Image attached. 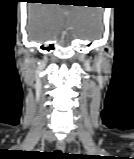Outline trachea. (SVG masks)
I'll list each match as a JSON object with an SVG mask.
<instances>
[{"mask_svg": "<svg viewBox=\"0 0 134 159\" xmlns=\"http://www.w3.org/2000/svg\"><path fill=\"white\" fill-rule=\"evenodd\" d=\"M56 153H57V154H61V151H60V150H57Z\"/></svg>", "mask_w": 134, "mask_h": 159, "instance_id": "obj_1", "label": "trachea"}]
</instances>
